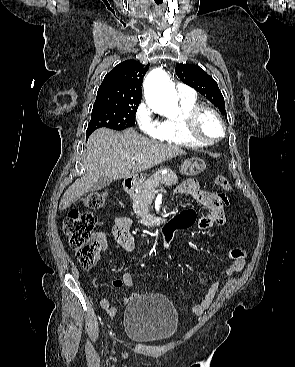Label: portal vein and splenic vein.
Masks as SVG:
<instances>
[{
  "label": "portal vein and splenic vein",
  "instance_id": "1",
  "mask_svg": "<svg viewBox=\"0 0 295 367\" xmlns=\"http://www.w3.org/2000/svg\"><path fill=\"white\" fill-rule=\"evenodd\" d=\"M159 184H157L156 186H158ZM153 191H155V189H153Z\"/></svg>",
  "mask_w": 295,
  "mask_h": 367
}]
</instances>
